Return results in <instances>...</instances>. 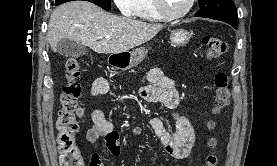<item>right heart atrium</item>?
Segmentation results:
<instances>
[{"label":"right heart atrium","instance_id":"right-heart-atrium-1","mask_svg":"<svg viewBox=\"0 0 277 166\" xmlns=\"http://www.w3.org/2000/svg\"><path fill=\"white\" fill-rule=\"evenodd\" d=\"M117 8L124 15H131L134 11L137 0H113Z\"/></svg>","mask_w":277,"mask_h":166}]
</instances>
